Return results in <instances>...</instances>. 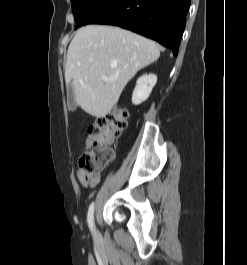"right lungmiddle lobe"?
<instances>
[{
    "label": "right lung middle lobe",
    "mask_w": 247,
    "mask_h": 265,
    "mask_svg": "<svg viewBox=\"0 0 247 265\" xmlns=\"http://www.w3.org/2000/svg\"><path fill=\"white\" fill-rule=\"evenodd\" d=\"M97 1L98 0H71L72 10L76 22H79V20Z\"/></svg>",
    "instance_id": "dd1d6c3e"
}]
</instances>
